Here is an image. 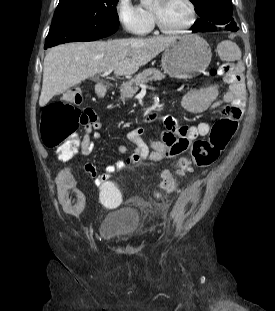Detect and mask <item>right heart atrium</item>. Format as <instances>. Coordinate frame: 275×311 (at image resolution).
Segmentation results:
<instances>
[{"label":"right heart atrium","mask_w":275,"mask_h":311,"mask_svg":"<svg viewBox=\"0 0 275 311\" xmlns=\"http://www.w3.org/2000/svg\"><path fill=\"white\" fill-rule=\"evenodd\" d=\"M114 11L120 26L134 35H142L151 27L150 18L133 0H116Z\"/></svg>","instance_id":"obj_1"}]
</instances>
